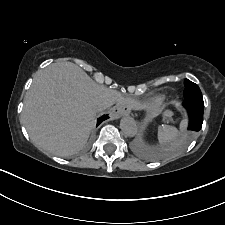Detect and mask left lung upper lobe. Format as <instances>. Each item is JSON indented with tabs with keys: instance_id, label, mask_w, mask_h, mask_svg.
<instances>
[{
	"instance_id": "5c2ea615",
	"label": "left lung upper lobe",
	"mask_w": 225,
	"mask_h": 225,
	"mask_svg": "<svg viewBox=\"0 0 225 225\" xmlns=\"http://www.w3.org/2000/svg\"><path fill=\"white\" fill-rule=\"evenodd\" d=\"M184 84H185L184 90L185 101L203 100L200 88L197 86V84L191 82L188 79L185 80Z\"/></svg>"
}]
</instances>
